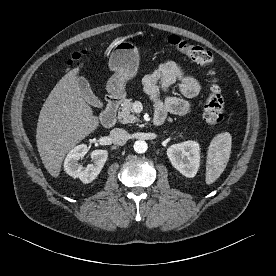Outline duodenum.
Listing matches in <instances>:
<instances>
[{
  "instance_id": "duodenum-1",
  "label": "duodenum",
  "mask_w": 276,
  "mask_h": 276,
  "mask_svg": "<svg viewBox=\"0 0 276 276\" xmlns=\"http://www.w3.org/2000/svg\"><path fill=\"white\" fill-rule=\"evenodd\" d=\"M122 101V98L118 95H110L107 98V104L101 115V123L105 127H112L117 120V110ZM165 122V116L161 113H157L154 116L153 123L156 126H162Z\"/></svg>"
}]
</instances>
